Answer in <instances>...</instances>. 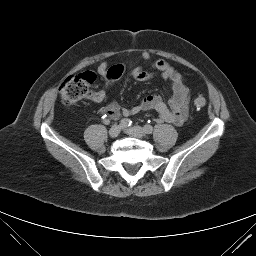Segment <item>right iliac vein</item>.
Returning <instances> with one entry per match:
<instances>
[{
    "instance_id": "obj_1",
    "label": "right iliac vein",
    "mask_w": 256,
    "mask_h": 256,
    "mask_svg": "<svg viewBox=\"0 0 256 256\" xmlns=\"http://www.w3.org/2000/svg\"><path fill=\"white\" fill-rule=\"evenodd\" d=\"M121 132V127L119 125H114L109 130V136L111 138H116Z\"/></svg>"
}]
</instances>
